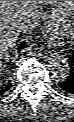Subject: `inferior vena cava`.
I'll use <instances>...</instances> for the list:
<instances>
[{
    "mask_svg": "<svg viewBox=\"0 0 74 122\" xmlns=\"http://www.w3.org/2000/svg\"><path fill=\"white\" fill-rule=\"evenodd\" d=\"M19 29H20V31H23L25 29V25L24 24L20 25Z\"/></svg>",
    "mask_w": 74,
    "mask_h": 122,
    "instance_id": "inferior-vena-cava-1",
    "label": "inferior vena cava"
}]
</instances>
